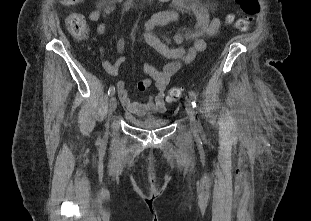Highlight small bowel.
I'll use <instances>...</instances> for the list:
<instances>
[{
	"mask_svg": "<svg viewBox=\"0 0 311 221\" xmlns=\"http://www.w3.org/2000/svg\"><path fill=\"white\" fill-rule=\"evenodd\" d=\"M119 0H99L97 7L88 15L90 21L100 18L106 19L114 10ZM185 11L192 12L196 17V25L191 30L177 33L173 38L161 37L153 32L157 26L167 25L180 19ZM221 25L219 18H210L207 10L198 0H173V9L159 12L153 15L144 24L143 37L148 45L154 48L168 61L162 69H157L150 63L144 64V70L149 78L138 83L140 91L146 90L154 84L155 92L147 100L135 101L130 99L125 83L118 81L116 84L119 98L127 110L137 116L149 113L165 112V92L170 78L181 68L182 65L190 63L200 52L206 49L205 37L214 35ZM98 33L105 31V24L97 26ZM172 43L179 46H172ZM189 44L185 46V44ZM118 50H124V39L118 41ZM126 62L124 56H119L115 63L103 61V66L111 75H117L120 67Z\"/></svg>",
	"mask_w": 311,
	"mask_h": 221,
	"instance_id": "1",
	"label": "small bowel"
}]
</instances>
